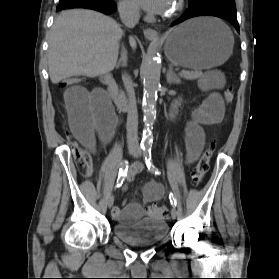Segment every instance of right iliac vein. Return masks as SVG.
Listing matches in <instances>:
<instances>
[{
    "label": "right iliac vein",
    "instance_id": "right-iliac-vein-1",
    "mask_svg": "<svg viewBox=\"0 0 279 279\" xmlns=\"http://www.w3.org/2000/svg\"><path fill=\"white\" fill-rule=\"evenodd\" d=\"M134 148L133 147H129L128 148V153L129 154H132V153H134ZM113 204H114V196L113 195H110L109 196V198H108V200H107V206H108V208H111L112 206H113Z\"/></svg>",
    "mask_w": 279,
    "mask_h": 279
}]
</instances>
